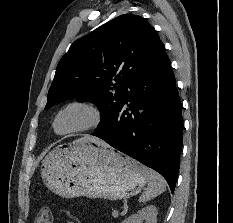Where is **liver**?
I'll list each match as a JSON object with an SVG mask.
<instances>
[{
	"mask_svg": "<svg viewBox=\"0 0 233 223\" xmlns=\"http://www.w3.org/2000/svg\"><path fill=\"white\" fill-rule=\"evenodd\" d=\"M79 141H93V143H98V145H107L105 141H102V139H99V137H94V135H85V137H79V139H76L74 143H79ZM109 147V145H107Z\"/></svg>",
	"mask_w": 233,
	"mask_h": 223,
	"instance_id": "obj_1",
	"label": "liver"
}]
</instances>
